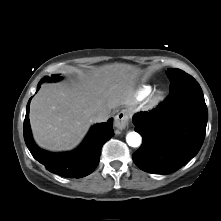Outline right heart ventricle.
Returning a JSON list of instances; mask_svg holds the SVG:
<instances>
[{
    "label": "right heart ventricle",
    "mask_w": 221,
    "mask_h": 221,
    "mask_svg": "<svg viewBox=\"0 0 221 221\" xmlns=\"http://www.w3.org/2000/svg\"><path fill=\"white\" fill-rule=\"evenodd\" d=\"M151 92V87L150 86H143L139 91H138V97L143 98L147 96Z\"/></svg>",
    "instance_id": "e07e8e85"
}]
</instances>
